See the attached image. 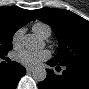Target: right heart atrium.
Wrapping results in <instances>:
<instances>
[{
    "instance_id": "right-heart-atrium-1",
    "label": "right heart atrium",
    "mask_w": 89,
    "mask_h": 89,
    "mask_svg": "<svg viewBox=\"0 0 89 89\" xmlns=\"http://www.w3.org/2000/svg\"><path fill=\"white\" fill-rule=\"evenodd\" d=\"M21 37H22V32L21 31H17L13 38H12V44L13 46L17 47L20 45L21 43Z\"/></svg>"
}]
</instances>
